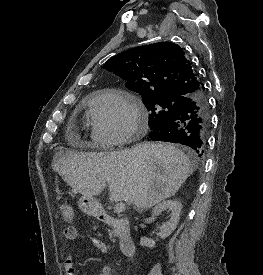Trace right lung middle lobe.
Here are the masks:
<instances>
[{
  "label": "right lung middle lobe",
  "mask_w": 263,
  "mask_h": 275,
  "mask_svg": "<svg viewBox=\"0 0 263 275\" xmlns=\"http://www.w3.org/2000/svg\"><path fill=\"white\" fill-rule=\"evenodd\" d=\"M190 101L191 99L185 97L143 96V102L150 112V129L180 112Z\"/></svg>",
  "instance_id": "dd1d6c3e"
}]
</instances>
